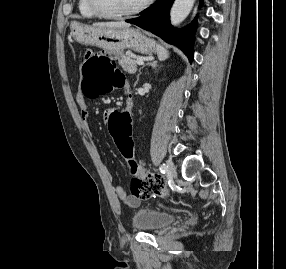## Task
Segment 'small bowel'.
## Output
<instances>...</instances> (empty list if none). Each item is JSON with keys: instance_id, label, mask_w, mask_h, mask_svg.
<instances>
[{"instance_id": "small-bowel-1", "label": "small bowel", "mask_w": 286, "mask_h": 269, "mask_svg": "<svg viewBox=\"0 0 286 269\" xmlns=\"http://www.w3.org/2000/svg\"><path fill=\"white\" fill-rule=\"evenodd\" d=\"M124 86V83L122 85V87ZM126 89V93L129 96V92ZM78 104L80 106V118L82 123L84 124V126L86 128H89V123H90V113L87 109V105L86 102L84 101V99L82 97L78 98ZM127 107V111H131L133 108V104L131 102V100L129 99L126 106ZM114 108H106V111H100V123H108V116L111 113V110ZM107 179L109 182H112L113 180V176L110 172L106 173ZM115 196L122 202H124L127 206L132 207V208H136L140 205L141 203V197H137V196H133V195H128L125 191V189L122 186H116L113 189Z\"/></svg>"}]
</instances>
